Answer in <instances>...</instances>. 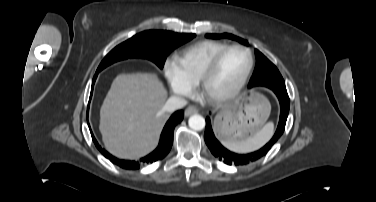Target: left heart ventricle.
<instances>
[{
	"mask_svg": "<svg viewBox=\"0 0 376 202\" xmlns=\"http://www.w3.org/2000/svg\"><path fill=\"white\" fill-rule=\"evenodd\" d=\"M248 62V55L243 50L228 52L210 80V91L220 94L235 86L243 76Z\"/></svg>",
	"mask_w": 376,
	"mask_h": 202,
	"instance_id": "b2bd125f",
	"label": "left heart ventricle"
}]
</instances>
